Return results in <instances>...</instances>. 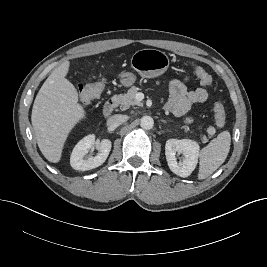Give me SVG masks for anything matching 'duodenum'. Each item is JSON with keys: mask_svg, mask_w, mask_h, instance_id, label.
<instances>
[{"mask_svg": "<svg viewBox=\"0 0 267 267\" xmlns=\"http://www.w3.org/2000/svg\"><path fill=\"white\" fill-rule=\"evenodd\" d=\"M118 98L116 96L110 97L104 104L103 114L105 116H110L114 109L117 107Z\"/></svg>", "mask_w": 267, "mask_h": 267, "instance_id": "duodenum-1", "label": "duodenum"}]
</instances>
